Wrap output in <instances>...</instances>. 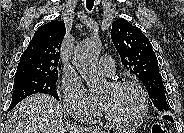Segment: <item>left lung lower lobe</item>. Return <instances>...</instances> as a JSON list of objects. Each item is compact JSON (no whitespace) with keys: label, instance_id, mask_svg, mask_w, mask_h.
<instances>
[{"label":"left lung lower lobe","instance_id":"left-lung-lower-lobe-1","mask_svg":"<svg viewBox=\"0 0 184 133\" xmlns=\"http://www.w3.org/2000/svg\"><path fill=\"white\" fill-rule=\"evenodd\" d=\"M163 118L166 119V120H169V121L173 122V118L171 116H169V115H166Z\"/></svg>","mask_w":184,"mask_h":133}]
</instances>
